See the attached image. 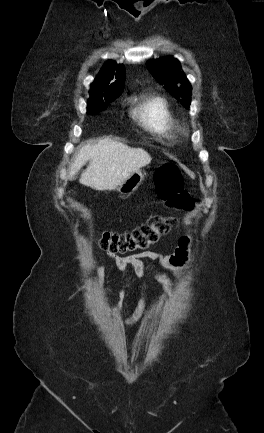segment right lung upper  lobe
Wrapping results in <instances>:
<instances>
[{
  "mask_svg": "<svg viewBox=\"0 0 264 433\" xmlns=\"http://www.w3.org/2000/svg\"><path fill=\"white\" fill-rule=\"evenodd\" d=\"M115 80V82H112ZM125 80V68L114 61H108L101 68L94 83L91 84L89 100H108L117 98L123 91Z\"/></svg>",
  "mask_w": 264,
  "mask_h": 433,
  "instance_id": "obj_1",
  "label": "right lung upper lobe"
}]
</instances>
